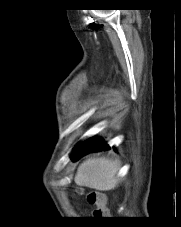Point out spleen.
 Here are the masks:
<instances>
[{
    "mask_svg": "<svg viewBox=\"0 0 181 227\" xmlns=\"http://www.w3.org/2000/svg\"><path fill=\"white\" fill-rule=\"evenodd\" d=\"M119 164L106 157L89 158L78 167L75 183L100 191L114 189L119 184Z\"/></svg>",
    "mask_w": 181,
    "mask_h": 227,
    "instance_id": "1",
    "label": "spleen"
}]
</instances>
